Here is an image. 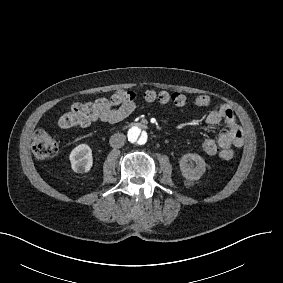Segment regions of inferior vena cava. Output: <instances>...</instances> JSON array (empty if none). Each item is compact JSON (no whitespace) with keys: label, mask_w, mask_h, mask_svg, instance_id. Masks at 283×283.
<instances>
[{"label":"inferior vena cava","mask_w":283,"mask_h":283,"mask_svg":"<svg viewBox=\"0 0 283 283\" xmlns=\"http://www.w3.org/2000/svg\"><path fill=\"white\" fill-rule=\"evenodd\" d=\"M126 136L122 133H116L110 137L109 143L113 148H121L124 146Z\"/></svg>","instance_id":"obj_1"}]
</instances>
